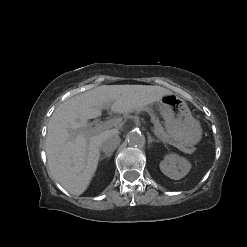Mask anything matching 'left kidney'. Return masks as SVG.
Masks as SVG:
<instances>
[{
	"mask_svg": "<svg viewBox=\"0 0 247 247\" xmlns=\"http://www.w3.org/2000/svg\"><path fill=\"white\" fill-rule=\"evenodd\" d=\"M159 166L164 175L174 180L183 178L191 169L190 162L177 154L166 155Z\"/></svg>",
	"mask_w": 247,
	"mask_h": 247,
	"instance_id": "1",
	"label": "left kidney"
}]
</instances>
